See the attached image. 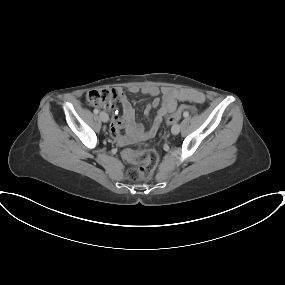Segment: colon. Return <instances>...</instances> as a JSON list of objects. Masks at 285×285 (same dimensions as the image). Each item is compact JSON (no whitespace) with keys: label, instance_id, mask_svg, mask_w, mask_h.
Here are the masks:
<instances>
[{"label":"colon","instance_id":"obj_1","mask_svg":"<svg viewBox=\"0 0 285 285\" xmlns=\"http://www.w3.org/2000/svg\"><path fill=\"white\" fill-rule=\"evenodd\" d=\"M86 100L89 105L111 110L114 108L117 95L114 91L108 89L92 90ZM193 107L183 106L176 113L168 118L169 123H173L180 119L182 114L194 112ZM123 158L136 166L131 167L127 171V177L130 180H148L152 177L156 164L158 162V153L153 148L141 149H125L122 153Z\"/></svg>","mask_w":285,"mask_h":285}]
</instances>
